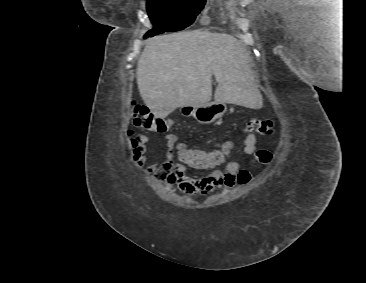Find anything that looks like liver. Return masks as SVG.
I'll use <instances>...</instances> for the list:
<instances>
[{"mask_svg":"<svg viewBox=\"0 0 366 283\" xmlns=\"http://www.w3.org/2000/svg\"><path fill=\"white\" fill-rule=\"evenodd\" d=\"M246 45L232 35L196 30L155 36L137 65V85L146 106L165 118L178 107L214 99L260 109L263 99L254 83Z\"/></svg>","mask_w":366,"mask_h":283,"instance_id":"obj_1","label":"liver"}]
</instances>
